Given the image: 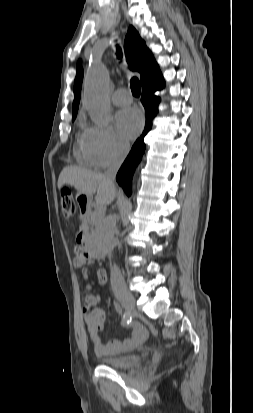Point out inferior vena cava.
<instances>
[{
  "instance_id": "obj_1",
  "label": "inferior vena cava",
  "mask_w": 253,
  "mask_h": 413,
  "mask_svg": "<svg viewBox=\"0 0 253 413\" xmlns=\"http://www.w3.org/2000/svg\"><path fill=\"white\" fill-rule=\"evenodd\" d=\"M129 151V147L126 145H121L117 149L111 166L108 168L106 172V177L114 183L116 174L122 165L125 157L127 156ZM117 216L109 215L105 218L97 230V240L103 251L111 256L112 251L115 247L116 240L114 238V230L116 228ZM111 287L114 293L124 292L126 291V285L124 278L116 265H113L111 270Z\"/></svg>"
}]
</instances>
